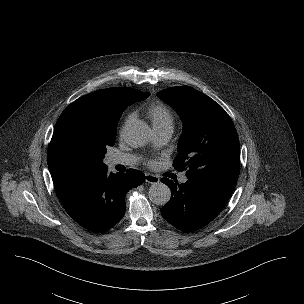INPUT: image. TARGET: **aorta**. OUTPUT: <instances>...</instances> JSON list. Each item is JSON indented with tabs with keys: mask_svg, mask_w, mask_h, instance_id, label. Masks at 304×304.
I'll return each mask as SVG.
<instances>
[{
	"mask_svg": "<svg viewBox=\"0 0 304 304\" xmlns=\"http://www.w3.org/2000/svg\"><path fill=\"white\" fill-rule=\"evenodd\" d=\"M150 136V128L143 122L129 124L124 131V138L127 144L133 147H140L147 143ZM149 199L156 205H165L171 197L170 188L161 182L153 183L149 188Z\"/></svg>",
	"mask_w": 304,
	"mask_h": 304,
	"instance_id": "obj_1",
	"label": "aorta"
}]
</instances>
